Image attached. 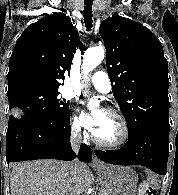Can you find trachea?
<instances>
[{
  "label": "trachea",
  "instance_id": "obj_1",
  "mask_svg": "<svg viewBox=\"0 0 178 195\" xmlns=\"http://www.w3.org/2000/svg\"><path fill=\"white\" fill-rule=\"evenodd\" d=\"M84 11H83V16H84V22H85V26L87 28V31H90L91 28L93 27L92 23V5H93V0H84Z\"/></svg>",
  "mask_w": 178,
  "mask_h": 195
}]
</instances>
